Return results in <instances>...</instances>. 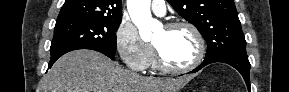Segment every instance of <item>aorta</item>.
Instances as JSON below:
<instances>
[{
    "instance_id": "obj_1",
    "label": "aorta",
    "mask_w": 289,
    "mask_h": 92,
    "mask_svg": "<svg viewBox=\"0 0 289 92\" xmlns=\"http://www.w3.org/2000/svg\"><path fill=\"white\" fill-rule=\"evenodd\" d=\"M150 5L151 0H127L129 15L143 40L150 39L152 32L160 26V23L152 18Z\"/></svg>"
}]
</instances>
